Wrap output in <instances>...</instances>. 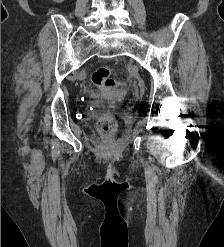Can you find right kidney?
<instances>
[{"mask_svg":"<svg viewBox=\"0 0 224 247\" xmlns=\"http://www.w3.org/2000/svg\"><path fill=\"white\" fill-rule=\"evenodd\" d=\"M53 2H56V4H61V2H64V0H53Z\"/></svg>","mask_w":224,"mask_h":247,"instance_id":"right-kidney-1","label":"right kidney"}]
</instances>
